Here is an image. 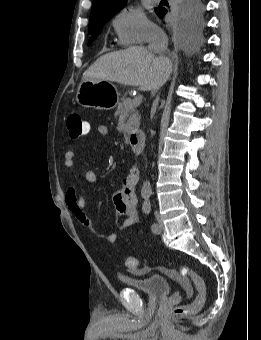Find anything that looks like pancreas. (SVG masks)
Returning <instances> with one entry per match:
<instances>
[{
  "instance_id": "cf45deb5",
  "label": "pancreas",
  "mask_w": 261,
  "mask_h": 340,
  "mask_svg": "<svg viewBox=\"0 0 261 340\" xmlns=\"http://www.w3.org/2000/svg\"><path fill=\"white\" fill-rule=\"evenodd\" d=\"M131 99L122 98V101L118 103V107L116 110V116L124 115L127 119V122L124 125V135L131 133L133 130L139 127V115L135 108H130L129 104Z\"/></svg>"
}]
</instances>
